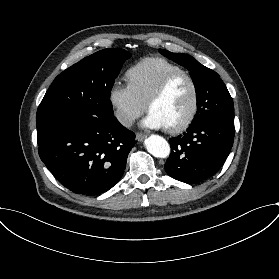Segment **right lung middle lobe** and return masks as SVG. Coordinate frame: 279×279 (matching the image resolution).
Masks as SVG:
<instances>
[{
  "instance_id": "dd1d6c3e",
  "label": "right lung middle lobe",
  "mask_w": 279,
  "mask_h": 279,
  "mask_svg": "<svg viewBox=\"0 0 279 279\" xmlns=\"http://www.w3.org/2000/svg\"><path fill=\"white\" fill-rule=\"evenodd\" d=\"M131 54L123 49H104L59 74L47 90L36 114V125L58 115H113L111 89L123 63Z\"/></svg>"
}]
</instances>
